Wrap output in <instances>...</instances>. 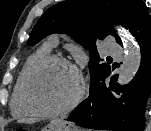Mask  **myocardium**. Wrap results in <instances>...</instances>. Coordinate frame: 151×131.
Instances as JSON below:
<instances>
[{"mask_svg":"<svg viewBox=\"0 0 151 131\" xmlns=\"http://www.w3.org/2000/svg\"><path fill=\"white\" fill-rule=\"evenodd\" d=\"M51 64H61L68 67L76 76L77 89L73 97L63 107L56 110L45 111V110H40V109L35 108L30 103L29 84H30V80L32 76L34 75L36 71ZM84 94H85V81L82 76V73L77 68V66L62 56L48 55V56L38 59L27 69L23 78V82H22L20 104L23 110L27 114L37 116V117H42V118H53V117L67 114L68 112L75 109L82 101Z\"/></svg>","mask_w":151,"mask_h":131,"instance_id":"f54148a6","label":"myocardium"}]
</instances>
